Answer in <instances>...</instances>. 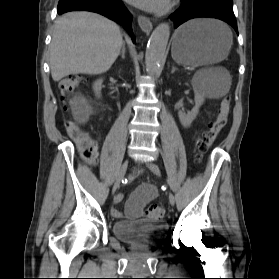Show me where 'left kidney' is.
<instances>
[{
  "mask_svg": "<svg viewBox=\"0 0 279 279\" xmlns=\"http://www.w3.org/2000/svg\"><path fill=\"white\" fill-rule=\"evenodd\" d=\"M192 86H193L194 94H195V97H194L195 107L187 113H185L181 110L178 112V117H179L180 123L185 128H188L191 126L192 122L195 120V118L197 117V115L199 113L200 106L205 101V98L201 94L198 84L196 83L195 79L192 80Z\"/></svg>",
  "mask_w": 279,
  "mask_h": 279,
  "instance_id": "left-kidney-1",
  "label": "left kidney"
}]
</instances>
